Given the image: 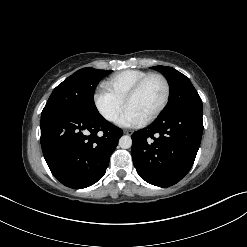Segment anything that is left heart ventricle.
Wrapping results in <instances>:
<instances>
[{
    "label": "left heart ventricle",
    "instance_id": "b2bd125f",
    "mask_svg": "<svg viewBox=\"0 0 247 247\" xmlns=\"http://www.w3.org/2000/svg\"><path fill=\"white\" fill-rule=\"evenodd\" d=\"M165 96V86L161 79H149L139 93L134 96L127 106L136 110L145 119L150 116L162 103Z\"/></svg>",
    "mask_w": 247,
    "mask_h": 247
}]
</instances>
